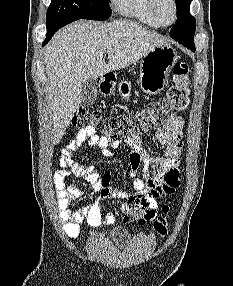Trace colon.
<instances>
[{"mask_svg":"<svg viewBox=\"0 0 233 286\" xmlns=\"http://www.w3.org/2000/svg\"><path fill=\"white\" fill-rule=\"evenodd\" d=\"M190 73V66L186 62H178L174 66L173 85L158 101L149 104L143 110L108 119H103L97 112L87 107H81L73 119V126L100 127L105 136L114 141L139 136L187 107L191 89ZM129 205L130 217L140 220L146 214V208L151 205V198L139 195L131 198ZM168 226L169 207L164 205L153 223V229L158 235L165 236Z\"/></svg>","mask_w":233,"mask_h":286,"instance_id":"1","label":"colon"}]
</instances>
